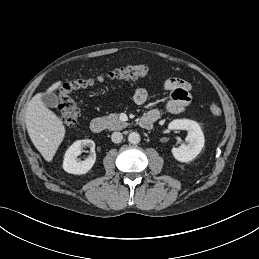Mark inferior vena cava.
Wrapping results in <instances>:
<instances>
[{"label": "inferior vena cava", "instance_id": "1", "mask_svg": "<svg viewBox=\"0 0 259 259\" xmlns=\"http://www.w3.org/2000/svg\"><path fill=\"white\" fill-rule=\"evenodd\" d=\"M123 139V134L121 132H113L111 135V140L114 143H120Z\"/></svg>", "mask_w": 259, "mask_h": 259}]
</instances>
